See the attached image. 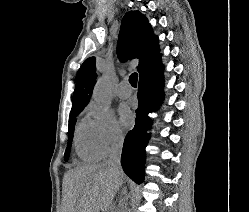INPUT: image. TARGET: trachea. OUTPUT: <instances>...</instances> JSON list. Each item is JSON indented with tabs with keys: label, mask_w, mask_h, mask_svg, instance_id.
<instances>
[{
	"label": "trachea",
	"mask_w": 249,
	"mask_h": 212,
	"mask_svg": "<svg viewBox=\"0 0 249 212\" xmlns=\"http://www.w3.org/2000/svg\"><path fill=\"white\" fill-rule=\"evenodd\" d=\"M137 81H138V74L132 73L129 77V82L132 85V87H137Z\"/></svg>",
	"instance_id": "3493384b"
}]
</instances>
